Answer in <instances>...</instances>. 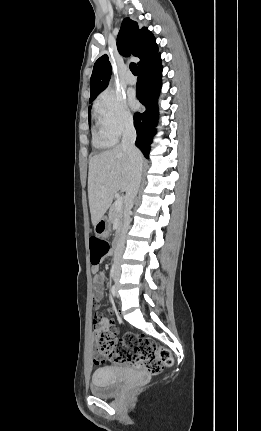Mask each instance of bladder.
Listing matches in <instances>:
<instances>
[{
  "label": "bladder",
  "instance_id": "1",
  "mask_svg": "<svg viewBox=\"0 0 261 431\" xmlns=\"http://www.w3.org/2000/svg\"><path fill=\"white\" fill-rule=\"evenodd\" d=\"M124 381L123 371L116 368H100L92 374L90 391L97 397H112L121 391Z\"/></svg>",
  "mask_w": 261,
  "mask_h": 431
}]
</instances>
